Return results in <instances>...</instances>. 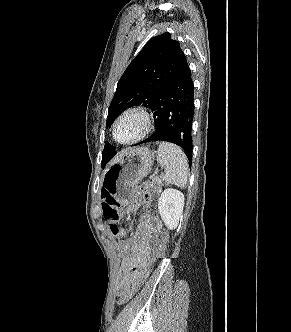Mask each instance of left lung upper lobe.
<instances>
[{
    "instance_id": "left-lung-upper-lobe-1",
    "label": "left lung upper lobe",
    "mask_w": 291,
    "mask_h": 332,
    "mask_svg": "<svg viewBox=\"0 0 291 332\" xmlns=\"http://www.w3.org/2000/svg\"><path fill=\"white\" fill-rule=\"evenodd\" d=\"M184 53L169 33L152 37L129 64L117 84L109 106L106 128L127 108H152L157 96L174 74ZM116 154L109 143L102 152V167Z\"/></svg>"
}]
</instances>
